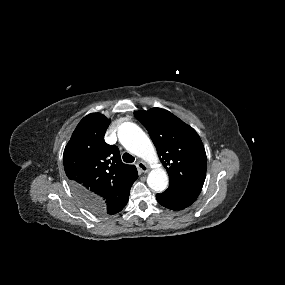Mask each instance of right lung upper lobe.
I'll return each instance as SVG.
<instances>
[{
	"label": "right lung upper lobe",
	"instance_id": "cb5924a9",
	"mask_svg": "<svg viewBox=\"0 0 285 285\" xmlns=\"http://www.w3.org/2000/svg\"><path fill=\"white\" fill-rule=\"evenodd\" d=\"M109 124L100 113L85 116L63 155L64 169L77 197L104 215L122 208L138 178L134 165L122 163L118 147L104 141Z\"/></svg>",
	"mask_w": 285,
	"mask_h": 285
}]
</instances>
